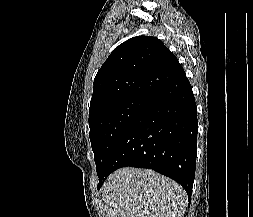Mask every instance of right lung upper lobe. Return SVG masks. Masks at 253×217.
Returning a JSON list of instances; mask_svg holds the SVG:
<instances>
[{"mask_svg": "<svg viewBox=\"0 0 253 217\" xmlns=\"http://www.w3.org/2000/svg\"><path fill=\"white\" fill-rule=\"evenodd\" d=\"M184 72L156 37L137 36L113 50L94 79L89 116L130 97L151 99Z\"/></svg>", "mask_w": 253, "mask_h": 217, "instance_id": "1", "label": "right lung upper lobe"}]
</instances>
